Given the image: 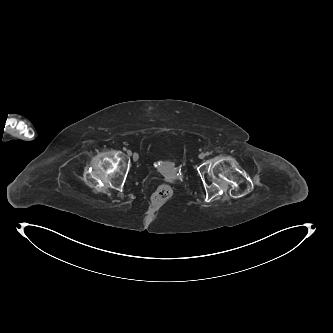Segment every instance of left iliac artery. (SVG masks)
Returning a JSON list of instances; mask_svg holds the SVG:
<instances>
[{
  "label": "left iliac artery",
  "mask_w": 333,
  "mask_h": 333,
  "mask_svg": "<svg viewBox=\"0 0 333 333\" xmlns=\"http://www.w3.org/2000/svg\"><path fill=\"white\" fill-rule=\"evenodd\" d=\"M209 154H210V152L207 151V152H206V155H209Z\"/></svg>",
  "instance_id": "1"
}]
</instances>
